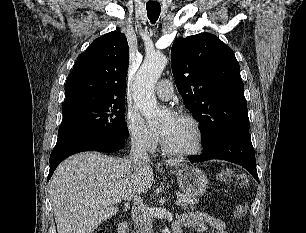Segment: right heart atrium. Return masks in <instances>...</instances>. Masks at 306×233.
Segmentation results:
<instances>
[{
  "mask_svg": "<svg viewBox=\"0 0 306 233\" xmlns=\"http://www.w3.org/2000/svg\"><path fill=\"white\" fill-rule=\"evenodd\" d=\"M126 131L133 148L153 153L159 143L158 135L153 132L145 123V120L135 110H131L126 115Z\"/></svg>",
  "mask_w": 306,
  "mask_h": 233,
  "instance_id": "obj_1",
  "label": "right heart atrium"
}]
</instances>
